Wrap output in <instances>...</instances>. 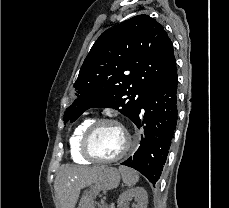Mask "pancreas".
<instances>
[{"mask_svg": "<svg viewBox=\"0 0 229 208\" xmlns=\"http://www.w3.org/2000/svg\"><path fill=\"white\" fill-rule=\"evenodd\" d=\"M98 208H108L107 204H105L104 200H100V202H97Z\"/></svg>", "mask_w": 229, "mask_h": 208, "instance_id": "1", "label": "pancreas"}]
</instances>
